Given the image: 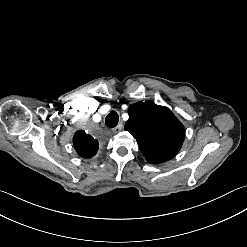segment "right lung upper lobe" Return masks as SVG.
<instances>
[{"instance_id": "obj_1", "label": "right lung upper lobe", "mask_w": 247, "mask_h": 247, "mask_svg": "<svg viewBox=\"0 0 247 247\" xmlns=\"http://www.w3.org/2000/svg\"><path fill=\"white\" fill-rule=\"evenodd\" d=\"M73 143L77 153L84 158L94 156L99 146L97 139L93 138L90 134H86L83 130L75 133Z\"/></svg>"}]
</instances>
